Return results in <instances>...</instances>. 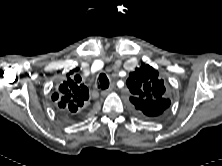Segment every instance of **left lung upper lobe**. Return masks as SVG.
<instances>
[{
    "mask_svg": "<svg viewBox=\"0 0 222 166\" xmlns=\"http://www.w3.org/2000/svg\"><path fill=\"white\" fill-rule=\"evenodd\" d=\"M127 87L131 92L130 101L140 114L156 117L163 113L165 106V86L158 72L148 64H142L129 74Z\"/></svg>",
    "mask_w": 222,
    "mask_h": 166,
    "instance_id": "1",
    "label": "left lung upper lobe"
}]
</instances>
